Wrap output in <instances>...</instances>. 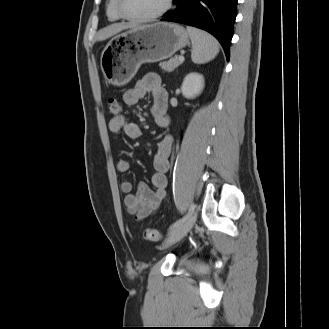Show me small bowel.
Listing matches in <instances>:
<instances>
[{
    "label": "small bowel",
    "instance_id": "small-bowel-1",
    "mask_svg": "<svg viewBox=\"0 0 329 329\" xmlns=\"http://www.w3.org/2000/svg\"><path fill=\"white\" fill-rule=\"evenodd\" d=\"M148 94L152 96L150 113L158 126L166 127L169 124L167 115L168 93L161 85V79L156 73H148L133 88L123 94V101L128 106L136 105ZM108 128L113 134L124 133L128 138L137 140L142 136L141 127L133 121H129L124 115L113 116L108 122ZM173 140L171 136H165L158 144L154 156L155 173L151 182L154 189L145 184H139L133 192L132 181L126 179L121 183V189L125 193L124 203L128 212L137 219L150 216L160 205L166 194V173L170 167V154ZM120 173H127L130 163L121 158L116 164Z\"/></svg>",
    "mask_w": 329,
    "mask_h": 329
}]
</instances>
